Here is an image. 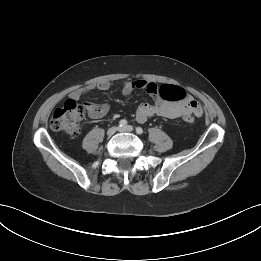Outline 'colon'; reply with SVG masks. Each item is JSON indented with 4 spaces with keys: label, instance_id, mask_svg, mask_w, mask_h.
Listing matches in <instances>:
<instances>
[{
    "label": "colon",
    "instance_id": "5ec220e1",
    "mask_svg": "<svg viewBox=\"0 0 261 261\" xmlns=\"http://www.w3.org/2000/svg\"><path fill=\"white\" fill-rule=\"evenodd\" d=\"M161 97L169 102H180L186 98V92L175 85H164L160 88ZM84 109L73 100H68L62 107L57 108L51 118L50 126L55 131H62L69 135L80 132V123L84 117ZM184 121L191 123L194 118L191 114L183 117Z\"/></svg>",
    "mask_w": 261,
    "mask_h": 261
}]
</instances>
